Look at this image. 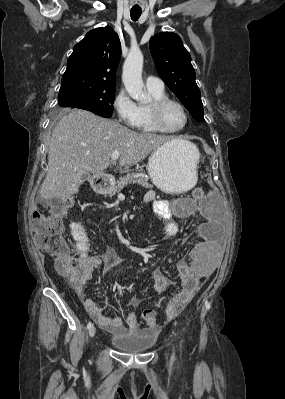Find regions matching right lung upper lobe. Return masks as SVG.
I'll use <instances>...</instances> for the list:
<instances>
[{
  "label": "right lung upper lobe",
  "mask_w": 285,
  "mask_h": 399,
  "mask_svg": "<svg viewBox=\"0 0 285 399\" xmlns=\"http://www.w3.org/2000/svg\"><path fill=\"white\" fill-rule=\"evenodd\" d=\"M120 57V40L111 27L89 31L74 46L59 94L80 90H115V74Z\"/></svg>",
  "instance_id": "cb5924a9"
}]
</instances>
